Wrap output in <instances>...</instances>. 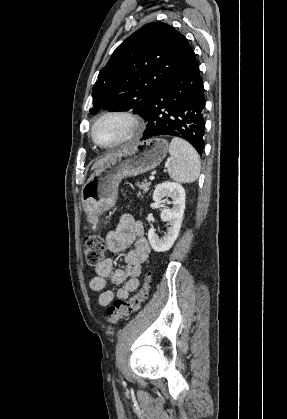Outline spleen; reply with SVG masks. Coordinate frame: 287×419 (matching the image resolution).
<instances>
[{"instance_id":"1","label":"spleen","mask_w":287,"mask_h":419,"mask_svg":"<svg viewBox=\"0 0 287 419\" xmlns=\"http://www.w3.org/2000/svg\"><path fill=\"white\" fill-rule=\"evenodd\" d=\"M171 162L167 167L169 176L181 183H192L200 174V157L187 141L175 137L169 145Z\"/></svg>"}]
</instances>
